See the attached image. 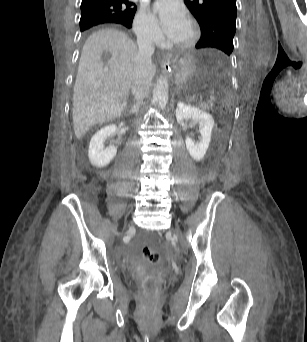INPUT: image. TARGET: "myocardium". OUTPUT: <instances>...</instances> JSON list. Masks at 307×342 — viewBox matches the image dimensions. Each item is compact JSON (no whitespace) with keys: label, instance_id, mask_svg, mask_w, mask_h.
I'll return each mask as SVG.
<instances>
[{"label":"myocardium","instance_id":"myocardium-1","mask_svg":"<svg viewBox=\"0 0 307 342\" xmlns=\"http://www.w3.org/2000/svg\"><path fill=\"white\" fill-rule=\"evenodd\" d=\"M197 38H198L197 32L195 31L193 26H190L187 41L185 42L184 45L180 46V48L182 50L190 49L196 43Z\"/></svg>","mask_w":307,"mask_h":342}]
</instances>
